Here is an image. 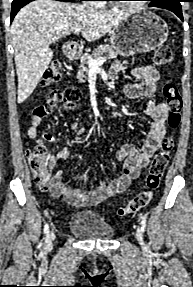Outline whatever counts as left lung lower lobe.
<instances>
[{"mask_svg": "<svg viewBox=\"0 0 193 287\" xmlns=\"http://www.w3.org/2000/svg\"><path fill=\"white\" fill-rule=\"evenodd\" d=\"M180 2H181L180 0H173L155 5L153 7L168 9L174 12L183 21L182 8Z\"/></svg>", "mask_w": 193, "mask_h": 287, "instance_id": "left-lung-lower-lobe-1", "label": "left lung lower lobe"}]
</instances>
